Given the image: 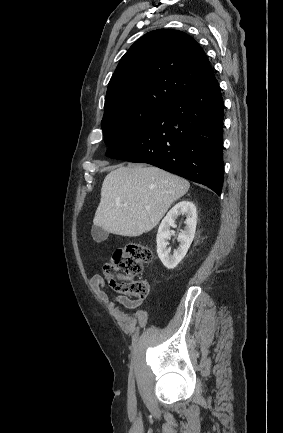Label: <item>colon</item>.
<instances>
[{
  "mask_svg": "<svg viewBox=\"0 0 283 433\" xmlns=\"http://www.w3.org/2000/svg\"><path fill=\"white\" fill-rule=\"evenodd\" d=\"M152 259V252L144 244L129 242L117 249L111 259L104 265L103 273L110 288L121 295L143 300L149 293L148 283L135 280L144 265Z\"/></svg>",
  "mask_w": 283,
  "mask_h": 433,
  "instance_id": "1",
  "label": "colon"
}]
</instances>
